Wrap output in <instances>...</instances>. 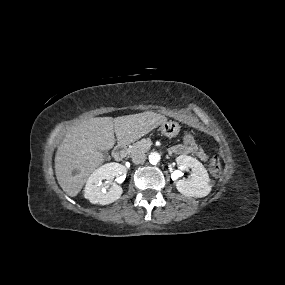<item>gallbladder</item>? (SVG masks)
I'll return each instance as SVG.
<instances>
[{
  "label": "gallbladder",
  "mask_w": 285,
  "mask_h": 285,
  "mask_svg": "<svg viewBox=\"0 0 285 285\" xmlns=\"http://www.w3.org/2000/svg\"><path fill=\"white\" fill-rule=\"evenodd\" d=\"M104 159L109 160L110 159V155L108 154V152L103 151L102 152Z\"/></svg>",
  "instance_id": "bac80fb5"
}]
</instances>
